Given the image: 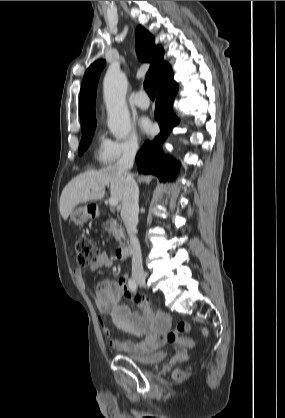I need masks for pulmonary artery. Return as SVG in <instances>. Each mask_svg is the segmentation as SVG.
I'll return each mask as SVG.
<instances>
[{
    "label": "pulmonary artery",
    "instance_id": "pulmonary-artery-1",
    "mask_svg": "<svg viewBox=\"0 0 285 418\" xmlns=\"http://www.w3.org/2000/svg\"><path fill=\"white\" fill-rule=\"evenodd\" d=\"M133 103L141 109H146L150 106V101L144 91H140L134 96Z\"/></svg>",
    "mask_w": 285,
    "mask_h": 418
}]
</instances>
